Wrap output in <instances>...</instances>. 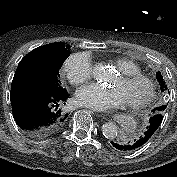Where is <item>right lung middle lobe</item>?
Segmentation results:
<instances>
[{"label": "right lung middle lobe", "instance_id": "obj_1", "mask_svg": "<svg viewBox=\"0 0 177 177\" xmlns=\"http://www.w3.org/2000/svg\"><path fill=\"white\" fill-rule=\"evenodd\" d=\"M69 55L68 50L49 61L35 57L23 58L17 67L11 88H32L63 93L66 90L61 86L59 69Z\"/></svg>", "mask_w": 177, "mask_h": 177}]
</instances>
